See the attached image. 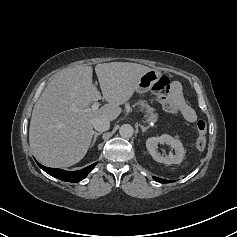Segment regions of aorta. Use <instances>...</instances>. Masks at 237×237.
Returning <instances> with one entry per match:
<instances>
[{
    "mask_svg": "<svg viewBox=\"0 0 237 237\" xmlns=\"http://www.w3.org/2000/svg\"><path fill=\"white\" fill-rule=\"evenodd\" d=\"M134 133V129L130 124H123L119 129V134L123 138H130Z\"/></svg>",
    "mask_w": 237,
    "mask_h": 237,
    "instance_id": "1",
    "label": "aorta"
}]
</instances>
